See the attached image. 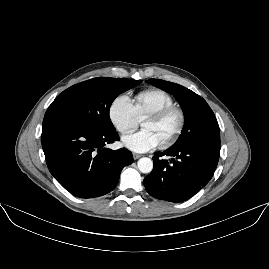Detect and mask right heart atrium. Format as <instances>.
<instances>
[{"instance_id": "obj_1", "label": "right heart atrium", "mask_w": 269, "mask_h": 269, "mask_svg": "<svg viewBox=\"0 0 269 269\" xmlns=\"http://www.w3.org/2000/svg\"><path fill=\"white\" fill-rule=\"evenodd\" d=\"M108 118L120 134H128L139 127L133 103L128 95L119 94L108 107Z\"/></svg>"}]
</instances>
